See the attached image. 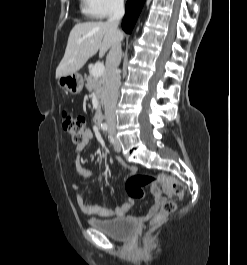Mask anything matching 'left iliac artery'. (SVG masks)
<instances>
[{
  "mask_svg": "<svg viewBox=\"0 0 247 265\" xmlns=\"http://www.w3.org/2000/svg\"><path fill=\"white\" fill-rule=\"evenodd\" d=\"M109 138H110V142L113 143L114 142L113 138L111 136Z\"/></svg>",
  "mask_w": 247,
  "mask_h": 265,
  "instance_id": "1",
  "label": "left iliac artery"
}]
</instances>
